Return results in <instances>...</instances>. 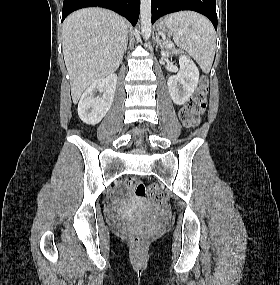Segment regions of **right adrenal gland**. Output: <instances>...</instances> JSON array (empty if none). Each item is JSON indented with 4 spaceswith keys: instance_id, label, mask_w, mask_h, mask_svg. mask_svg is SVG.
Listing matches in <instances>:
<instances>
[{
    "instance_id": "obj_1",
    "label": "right adrenal gland",
    "mask_w": 280,
    "mask_h": 285,
    "mask_svg": "<svg viewBox=\"0 0 280 285\" xmlns=\"http://www.w3.org/2000/svg\"><path fill=\"white\" fill-rule=\"evenodd\" d=\"M127 45H128V38L126 39V42H125V45H124L122 58H123L124 53L127 51Z\"/></svg>"
}]
</instances>
